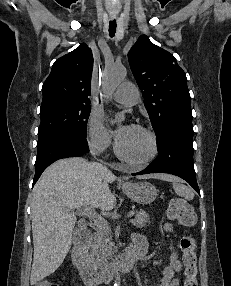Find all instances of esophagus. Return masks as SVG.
Returning a JSON list of instances; mask_svg holds the SVG:
<instances>
[{
  "label": "esophagus",
  "mask_w": 231,
  "mask_h": 286,
  "mask_svg": "<svg viewBox=\"0 0 231 286\" xmlns=\"http://www.w3.org/2000/svg\"><path fill=\"white\" fill-rule=\"evenodd\" d=\"M111 18L114 19V18H115V15H111Z\"/></svg>",
  "instance_id": "esophagus-1"
}]
</instances>
